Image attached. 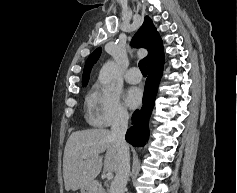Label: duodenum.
Wrapping results in <instances>:
<instances>
[{
	"instance_id": "1",
	"label": "duodenum",
	"mask_w": 237,
	"mask_h": 193,
	"mask_svg": "<svg viewBox=\"0 0 237 193\" xmlns=\"http://www.w3.org/2000/svg\"><path fill=\"white\" fill-rule=\"evenodd\" d=\"M98 190H99L100 192H102V188H101L100 186H98Z\"/></svg>"
}]
</instances>
